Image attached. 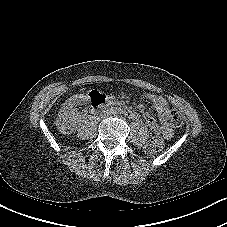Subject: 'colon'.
Here are the masks:
<instances>
[{
	"label": "colon",
	"instance_id": "5ec220e1",
	"mask_svg": "<svg viewBox=\"0 0 227 227\" xmlns=\"http://www.w3.org/2000/svg\"><path fill=\"white\" fill-rule=\"evenodd\" d=\"M97 95H100L98 92H91L89 94L90 99L96 97ZM171 123L174 127L179 128L182 126L183 124V118L182 115L176 111V110H172L171 111ZM164 146V139L162 136L156 135L153 136L146 144V150L150 153H155L160 151Z\"/></svg>",
	"mask_w": 227,
	"mask_h": 227
}]
</instances>
